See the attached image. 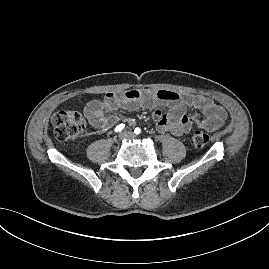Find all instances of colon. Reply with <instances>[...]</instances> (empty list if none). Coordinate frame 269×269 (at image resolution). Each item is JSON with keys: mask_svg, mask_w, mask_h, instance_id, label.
<instances>
[{"mask_svg": "<svg viewBox=\"0 0 269 269\" xmlns=\"http://www.w3.org/2000/svg\"><path fill=\"white\" fill-rule=\"evenodd\" d=\"M54 135L59 141L75 139L82 134L86 128L85 118L77 111L64 110L57 112L52 117ZM209 141L208 135L197 130L192 135V142L195 147L202 148Z\"/></svg>", "mask_w": 269, "mask_h": 269, "instance_id": "colon-1", "label": "colon"}]
</instances>
